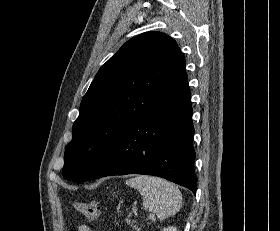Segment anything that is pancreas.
<instances>
[{
  "label": "pancreas",
  "instance_id": "pancreas-1",
  "mask_svg": "<svg viewBox=\"0 0 280 231\" xmlns=\"http://www.w3.org/2000/svg\"><path fill=\"white\" fill-rule=\"evenodd\" d=\"M127 223H129V225H132V227H134V229H137V231H140L141 227H138V225H133V223H135V221H131V219H126Z\"/></svg>",
  "mask_w": 280,
  "mask_h": 231
}]
</instances>
